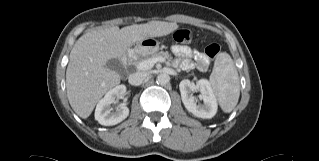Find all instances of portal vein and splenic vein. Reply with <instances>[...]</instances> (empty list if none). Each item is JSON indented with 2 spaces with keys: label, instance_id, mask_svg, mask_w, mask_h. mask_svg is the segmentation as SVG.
<instances>
[{
  "label": "portal vein and splenic vein",
  "instance_id": "1",
  "mask_svg": "<svg viewBox=\"0 0 319 161\" xmlns=\"http://www.w3.org/2000/svg\"><path fill=\"white\" fill-rule=\"evenodd\" d=\"M157 62H165V58L155 57V58H150V59L144 60V61L140 62L139 64H137V69L138 70H149Z\"/></svg>",
  "mask_w": 319,
  "mask_h": 161
}]
</instances>
